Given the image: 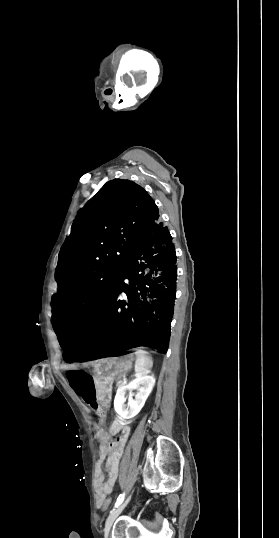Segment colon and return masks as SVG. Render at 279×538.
I'll return each instance as SVG.
<instances>
[{"label": "colon", "mask_w": 279, "mask_h": 538, "mask_svg": "<svg viewBox=\"0 0 279 538\" xmlns=\"http://www.w3.org/2000/svg\"><path fill=\"white\" fill-rule=\"evenodd\" d=\"M111 505V500L109 498L105 499L102 503V509L107 510Z\"/></svg>", "instance_id": "5ec220e1"}]
</instances>
